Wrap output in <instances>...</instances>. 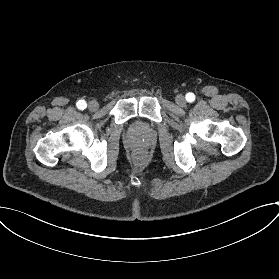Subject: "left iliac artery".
Wrapping results in <instances>:
<instances>
[{"mask_svg": "<svg viewBox=\"0 0 279 279\" xmlns=\"http://www.w3.org/2000/svg\"><path fill=\"white\" fill-rule=\"evenodd\" d=\"M186 100L188 101V102H193L194 100H195V95L193 94V93H187L186 94Z\"/></svg>", "mask_w": 279, "mask_h": 279, "instance_id": "left-iliac-artery-1", "label": "left iliac artery"}]
</instances>
